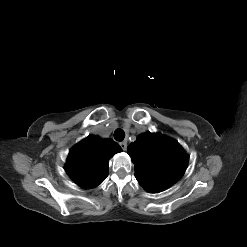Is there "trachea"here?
<instances>
[{"instance_id":"obj_1","label":"trachea","mask_w":247,"mask_h":247,"mask_svg":"<svg viewBox=\"0 0 247 247\" xmlns=\"http://www.w3.org/2000/svg\"><path fill=\"white\" fill-rule=\"evenodd\" d=\"M125 138V132L122 129H117L114 132V139L117 141H122Z\"/></svg>"}]
</instances>
